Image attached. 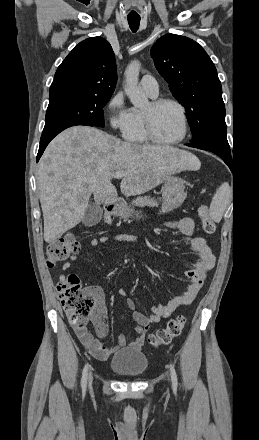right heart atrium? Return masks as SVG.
Segmentation results:
<instances>
[{"label": "right heart atrium", "instance_id": "right-heart-atrium-1", "mask_svg": "<svg viewBox=\"0 0 259 440\" xmlns=\"http://www.w3.org/2000/svg\"><path fill=\"white\" fill-rule=\"evenodd\" d=\"M107 121L110 128L121 135L128 130L131 121V109L126 106L125 97L122 92L115 93L106 105Z\"/></svg>", "mask_w": 259, "mask_h": 440}]
</instances>
